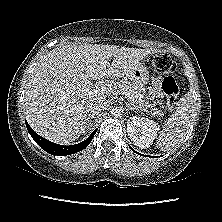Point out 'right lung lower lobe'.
<instances>
[{
	"instance_id": "98d812e1",
	"label": "right lung lower lobe",
	"mask_w": 222,
	"mask_h": 222,
	"mask_svg": "<svg viewBox=\"0 0 222 222\" xmlns=\"http://www.w3.org/2000/svg\"><path fill=\"white\" fill-rule=\"evenodd\" d=\"M25 123H26L27 130L30 133L31 137L34 139V141H36L38 143V145L43 150H45L46 152H48L52 155H59V156L73 154V153L83 150L84 148H86L89 145V143L91 142L93 136L95 135V133L97 131V129H96L94 132H92V134L85 141H83L79 144H75V145H71V146H64V145L55 144V143L41 137L40 135L36 134L33 131V129L29 126L27 121H25Z\"/></svg>"
}]
</instances>
